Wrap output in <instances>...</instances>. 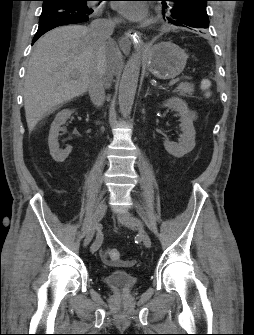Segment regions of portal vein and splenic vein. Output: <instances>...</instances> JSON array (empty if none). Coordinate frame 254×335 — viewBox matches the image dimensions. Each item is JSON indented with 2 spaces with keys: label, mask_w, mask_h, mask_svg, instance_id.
<instances>
[{
  "label": "portal vein and splenic vein",
  "mask_w": 254,
  "mask_h": 335,
  "mask_svg": "<svg viewBox=\"0 0 254 335\" xmlns=\"http://www.w3.org/2000/svg\"><path fill=\"white\" fill-rule=\"evenodd\" d=\"M179 80L178 79H172L169 81L168 83V87H172L174 86Z\"/></svg>",
  "instance_id": "portal-vein-and-splenic-vein-1"
}]
</instances>
